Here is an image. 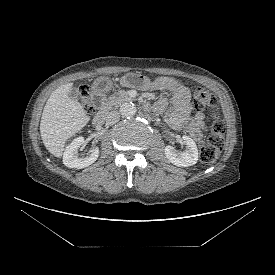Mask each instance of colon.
<instances>
[{"mask_svg": "<svg viewBox=\"0 0 275 275\" xmlns=\"http://www.w3.org/2000/svg\"><path fill=\"white\" fill-rule=\"evenodd\" d=\"M79 98L88 113L94 110V103L89 90L86 87L80 89ZM217 104L216 97L204 88H196L194 91V107L198 111H211L209 123L205 129L207 138L200 145V158L204 163L216 161L224 144V124L219 115L214 111Z\"/></svg>", "mask_w": 275, "mask_h": 275, "instance_id": "5ec220e1", "label": "colon"}]
</instances>
